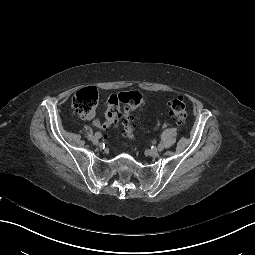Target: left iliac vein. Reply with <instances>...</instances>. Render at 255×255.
<instances>
[{
	"instance_id": "obj_1",
	"label": "left iliac vein",
	"mask_w": 255,
	"mask_h": 255,
	"mask_svg": "<svg viewBox=\"0 0 255 255\" xmlns=\"http://www.w3.org/2000/svg\"><path fill=\"white\" fill-rule=\"evenodd\" d=\"M148 154H149V156H151V157H156V156L159 155V150H157V149H151V150L148 151Z\"/></svg>"
}]
</instances>
